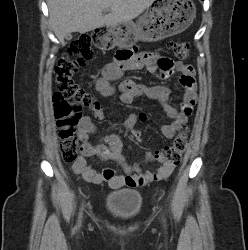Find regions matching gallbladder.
<instances>
[{
  "mask_svg": "<svg viewBox=\"0 0 248 250\" xmlns=\"http://www.w3.org/2000/svg\"><path fill=\"white\" fill-rule=\"evenodd\" d=\"M66 40H71L72 39V34H68L66 37H65Z\"/></svg>",
  "mask_w": 248,
  "mask_h": 250,
  "instance_id": "bac80fb5",
  "label": "gallbladder"
}]
</instances>
